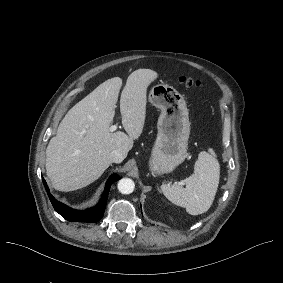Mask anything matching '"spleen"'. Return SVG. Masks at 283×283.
Returning <instances> with one entry per match:
<instances>
[{
	"label": "spleen",
	"mask_w": 283,
	"mask_h": 283,
	"mask_svg": "<svg viewBox=\"0 0 283 283\" xmlns=\"http://www.w3.org/2000/svg\"><path fill=\"white\" fill-rule=\"evenodd\" d=\"M214 148L208 147L198 155L195 173L188 178V186L163 184V194L172 203L185 207L189 214L206 213L212 206L220 181V163Z\"/></svg>",
	"instance_id": "1"
}]
</instances>
